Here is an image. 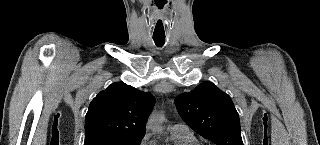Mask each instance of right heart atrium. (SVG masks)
<instances>
[{"instance_id": "d8ad5b80", "label": "right heart atrium", "mask_w": 320, "mask_h": 145, "mask_svg": "<svg viewBox=\"0 0 320 145\" xmlns=\"http://www.w3.org/2000/svg\"><path fill=\"white\" fill-rule=\"evenodd\" d=\"M141 145H152L148 135H145L141 140Z\"/></svg>"}]
</instances>
